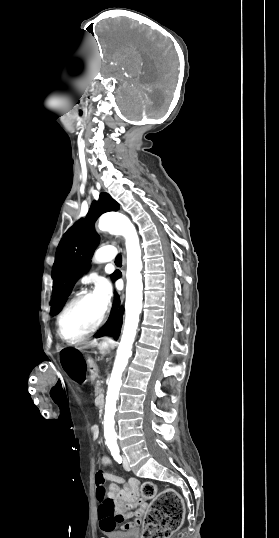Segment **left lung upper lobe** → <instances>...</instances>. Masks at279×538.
<instances>
[{"instance_id": "obj_1", "label": "left lung upper lobe", "mask_w": 279, "mask_h": 538, "mask_svg": "<svg viewBox=\"0 0 279 538\" xmlns=\"http://www.w3.org/2000/svg\"><path fill=\"white\" fill-rule=\"evenodd\" d=\"M119 204L107 193H101L94 201L85 219H80L64 234L59 243L53 266V300L52 315H56L69 296L74 283L81 277L90 263L99 243V236L94 229L98 217L108 211H117ZM113 278L116 276L113 274Z\"/></svg>"}]
</instances>
